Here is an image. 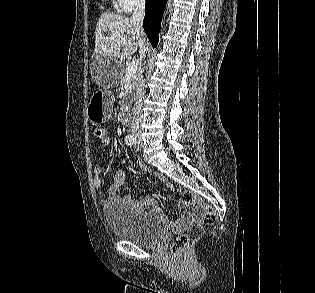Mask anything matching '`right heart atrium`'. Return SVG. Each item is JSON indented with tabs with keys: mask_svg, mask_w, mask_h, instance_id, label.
<instances>
[{
	"mask_svg": "<svg viewBox=\"0 0 315 293\" xmlns=\"http://www.w3.org/2000/svg\"><path fill=\"white\" fill-rule=\"evenodd\" d=\"M118 6L124 12H130L135 9L137 6L144 3L145 0H116Z\"/></svg>",
	"mask_w": 315,
	"mask_h": 293,
	"instance_id": "right-heart-atrium-1",
	"label": "right heart atrium"
}]
</instances>
